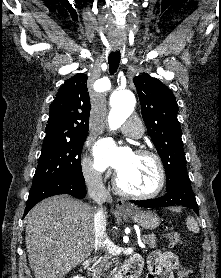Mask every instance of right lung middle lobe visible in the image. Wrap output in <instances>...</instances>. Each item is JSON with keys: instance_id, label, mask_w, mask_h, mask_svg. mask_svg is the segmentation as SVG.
Instances as JSON below:
<instances>
[{"instance_id": "right-lung-middle-lobe-1", "label": "right lung middle lobe", "mask_w": 221, "mask_h": 278, "mask_svg": "<svg viewBox=\"0 0 221 278\" xmlns=\"http://www.w3.org/2000/svg\"><path fill=\"white\" fill-rule=\"evenodd\" d=\"M86 136L43 143L31 189L61 177L83 180L80 155Z\"/></svg>"}]
</instances>
